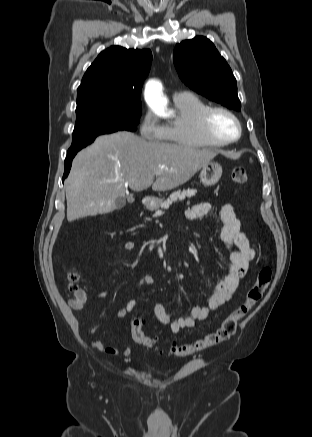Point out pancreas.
I'll use <instances>...</instances> for the list:
<instances>
[{"mask_svg":"<svg viewBox=\"0 0 312 437\" xmlns=\"http://www.w3.org/2000/svg\"><path fill=\"white\" fill-rule=\"evenodd\" d=\"M196 190L193 189H189V190H184V191H176L173 192L165 202L162 203L161 207L166 209L168 208L170 205H172L174 202H178V201H182L184 200L186 197L190 198L192 196H194L196 194ZM163 214V212L161 210H157L155 212V214L153 215V217H158L161 216Z\"/></svg>","mask_w":312,"mask_h":437,"instance_id":"1","label":"pancreas"}]
</instances>
